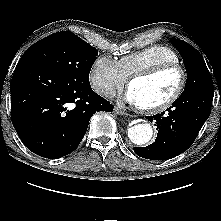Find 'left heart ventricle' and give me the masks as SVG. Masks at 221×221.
Here are the masks:
<instances>
[{
    "label": "left heart ventricle",
    "mask_w": 221,
    "mask_h": 221,
    "mask_svg": "<svg viewBox=\"0 0 221 221\" xmlns=\"http://www.w3.org/2000/svg\"><path fill=\"white\" fill-rule=\"evenodd\" d=\"M180 73L177 70L162 72L150 78L138 79L130 85L138 105L153 106L164 102L177 89Z\"/></svg>",
    "instance_id": "obj_1"
}]
</instances>
